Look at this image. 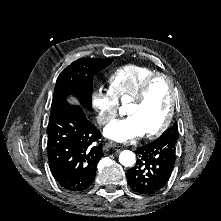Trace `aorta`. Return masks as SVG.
<instances>
[{
  "label": "aorta",
  "mask_w": 221,
  "mask_h": 221,
  "mask_svg": "<svg viewBox=\"0 0 221 221\" xmlns=\"http://www.w3.org/2000/svg\"><path fill=\"white\" fill-rule=\"evenodd\" d=\"M119 162L125 167H131L135 164V154L130 150H124L119 155Z\"/></svg>",
  "instance_id": "aorta-1"
}]
</instances>
